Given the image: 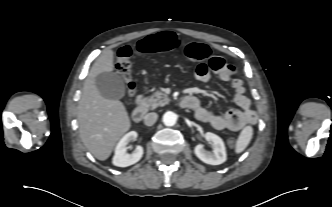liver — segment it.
Returning <instances> with one entry per match:
<instances>
[{"mask_svg":"<svg viewBox=\"0 0 332 207\" xmlns=\"http://www.w3.org/2000/svg\"><path fill=\"white\" fill-rule=\"evenodd\" d=\"M114 54L113 50H106L94 62L78 105L80 138L91 154L101 161L111 155L118 140L131 127L123 103L104 98L95 83L98 74L114 70Z\"/></svg>","mask_w":332,"mask_h":207,"instance_id":"obj_1","label":"liver"}]
</instances>
